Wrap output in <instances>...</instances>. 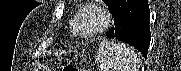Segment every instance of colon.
Segmentation results:
<instances>
[{
    "label": "colon",
    "instance_id": "1",
    "mask_svg": "<svg viewBox=\"0 0 181 71\" xmlns=\"http://www.w3.org/2000/svg\"><path fill=\"white\" fill-rule=\"evenodd\" d=\"M62 70L63 71H84V69H81L72 64H67V65L63 66Z\"/></svg>",
    "mask_w": 181,
    "mask_h": 71
}]
</instances>
